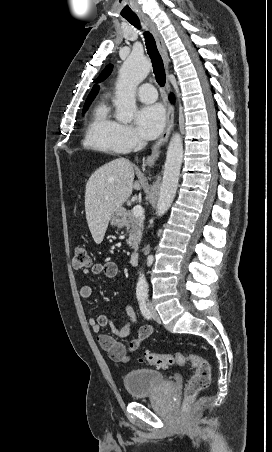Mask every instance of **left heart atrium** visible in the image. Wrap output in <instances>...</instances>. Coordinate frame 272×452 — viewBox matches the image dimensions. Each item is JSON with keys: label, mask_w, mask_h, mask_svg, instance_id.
I'll list each match as a JSON object with an SVG mask.
<instances>
[{"label": "left heart atrium", "mask_w": 272, "mask_h": 452, "mask_svg": "<svg viewBox=\"0 0 272 452\" xmlns=\"http://www.w3.org/2000/svg\"><path fill=\"white\" fill-rule=\"evenodd\" d=\"M165 126V111L162 106L150 105L142 108L137 117V127L142 137L153 139Z\"/></svg>", "instance_id": "left-heart-atrium-1"}]
</instances>
